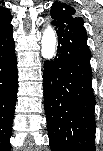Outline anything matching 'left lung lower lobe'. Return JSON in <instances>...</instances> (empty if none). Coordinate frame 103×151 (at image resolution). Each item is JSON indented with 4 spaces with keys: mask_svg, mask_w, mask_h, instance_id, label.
I'll use <instances>...</instances> for the list:
<instances>
[{
    "mask_svg": "<svg viewBox=\"0 0 103 151\" xmlns=\"http://www.w3.org/2000/svg\"><path fill=\"white\" fill-rule=\"evenodd\" d=\"M57 29V58L44 64V106L52 151H95L91 52L83 24Z\"/></svg>",
    "mask_w": 103,
    "mask_h": 151,
    "instance_id": "0a47b994",
    "label": "left lung lower lobe"
}]
</instances>
